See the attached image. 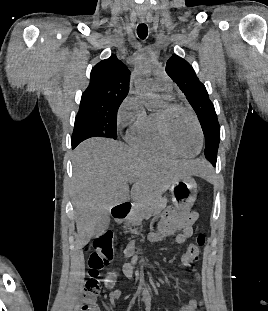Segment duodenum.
<instances>
[{
	"label": "duodenum",
	"mask_w": 268,
	"mask_h": 311,
	"mask_svg": "<svg viewBox=\"0 0 268 311\" xmlns=\"http://www.w3.org/2000/svg\"><path fill=\"white\" fill-rule=\"evenodd\" d=\"M131 208H132V206H131V203H129V202L117 204L113 208V212H112L114 219L117 222H122L126 218L127 214L131 210Z\"/></svg>",
	"instance_id": "410a0bca"
}]
</instances>
